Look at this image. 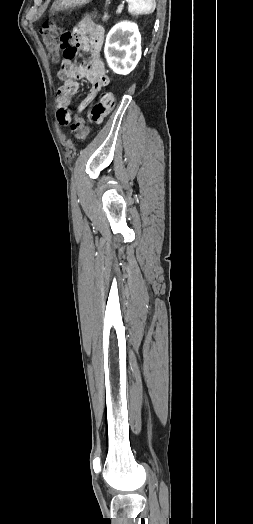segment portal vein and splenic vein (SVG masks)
<instances>
[{"mask_svg": "<svg viewBox=\"0 0 253 524\" xmlns=\"http://www.w3.org/2000/svg\"><path fill=\"white\" fill-rule=\"evenodd\" d=\"M117 11L121 12L122 11V7L120 6Z\"/></svg>", "mask_w": 253, "mask_h": 524, "instance_id": "18ae733b", "label": "portal vein and splenic vein"}]
</instances>
